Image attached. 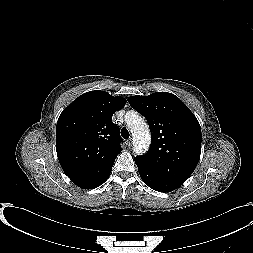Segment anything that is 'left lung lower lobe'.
Instances as JSON below:
<instances>
[{
	"mask_svg": "<svg viewBox=\"0 0 253 253\" xmlns=\"http://www.w3.org/2000/svg\"><path fill=\"white\" fill-rule=\"evenodd\" d=\"M135 163L138 167L139 174L142 180L144 181L146 185H148L153 190H156L159 192H170L181 186L175 182H172L168 179H165L149 171L142 164H140L136 158H135Z\"/></svg>",
	"mask_w": 253,
	"mask_h": 253,
	"instance_id": "obj_1",
	"label": "left lung lower lobe"
}]
</instances>
